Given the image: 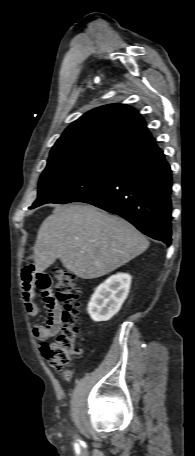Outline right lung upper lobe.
Here are the masks:
<instances>
[{"label": "right lung upper lobe", "instance_id": "cb5924a9", "mask_svg": "<svg viewBox=\"0 0 195 456\" xmlns=\"http://www.w3.org/2000/svg\"><path fill=\"white\" fill-rule=\"evenodd\" d=\"M158 150L135 109L110 104L73 122L53 146L48 163L85 159L124 167Z\"/></svg>", "mask_w": 195, "mask_h": 456}]
</instances>
